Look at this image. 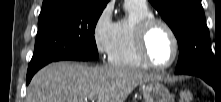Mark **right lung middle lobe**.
Here are the masks:
<instances>
[{
  "label": "right lung middle lobe",
  "instance_id": "right-lung-middle-lobe-1",
  "mask_svg": "<svg viewBox=\"0 0 221 102\" xmlns=\"http://www.w3.org/2000/svg\"><path fill=\"white\" fill-rule=\"evenodd\" d=\"M104 8L79 1L41 9L34 54L28 73L69 56L97 59L94 32Z\"/></svg>",
  "mask_w": 221,
  "mask_h": 102
}]
</instances>
